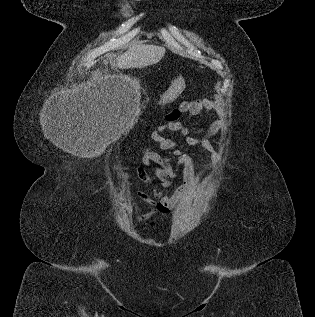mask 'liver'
I'll list each match as a JSON object with an SVG mask.
<instances>
[{
	"mask_svg": "<svg viewBox=\"0 0 315 317\" xmlns=\"http://www.w3.org/2000/svg\"><path fill=\"white\" fill-rule=\"evenodd\" d=\"M165 48L154 45H134L118 57L115 66L119 69L144 68L157 64L165 55ZM125 101L127 91L122 94ZM123 99H121L123 101Z\"/></svg>",
	"mask_w": 315,
	"mask_h": 317,
	"instance_id": "obj_1",
	"label": "liver"
}]
</instances>
